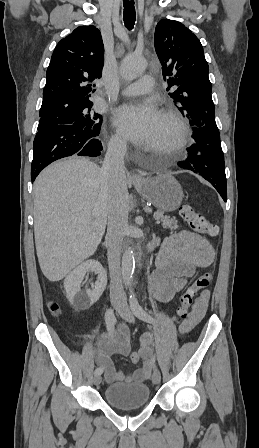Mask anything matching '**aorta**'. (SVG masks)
Listing matches in <instances>:
<instances>
[{
    "label": "aorta",
    "instance_id": "aorta-1",
    "mask_svg": "<svg viewBox=\"0 0 259 448\" xmlns=\"http://www.w3.org/2000/svg\"><path fill=\"white\" fill-rule=\"evenodd\" d=\"M146 60L139 55L129 54L125 56L121 63V76L128 81L134 80L144 72ZM135 259L133 249L128 247L122 256V280L125 285L130 286L133 282Z\"/></svg>",
    "mask_w": 259,
    "mask_h": 448
}]
</instances>
